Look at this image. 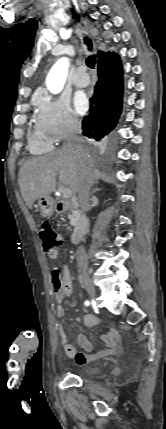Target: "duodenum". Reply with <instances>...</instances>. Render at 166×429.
<instances>
[{"label":"duodenum","mask_w":166,"mask_h":429,"mask_svg":"<svg viewBox=\"0 0 166 429\" xmlns=\"http://www.w3.org/2000/svg\"><path fill=\"white\" fill-rule=\"evenodd\" d=\"M58 212H64L69 209L75 212L74 223L75 228L71 237L74 244L78 243L89 229L88 217L73 203L67 201H58L55 206Z\"/></svg>","instance_id":"410a0bca"}]
</instances>
